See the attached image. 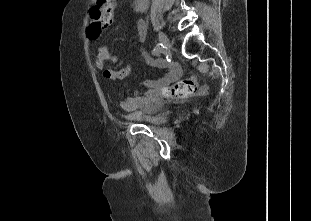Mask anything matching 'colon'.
Segmentation results:
<instances>
[{"label": "colon", "instance_id": "1", "mask_svg": "<svg viewBox=\"0 0 311 221\" xmlns=\"http://www.w3.org/2000/svg\"><path fill=\"white\" fill-rule=\"evenodd\" d=\"M92 25H88L86 39H99L102 28H109L112 23V0H96L90 10ZM198 92L197 78H182L166 88L165 96L172 99L188 98Z\"/></svg>", "mask_w": 311, "mask_h": 221}]
</instances>
